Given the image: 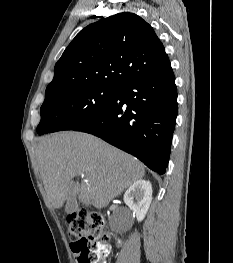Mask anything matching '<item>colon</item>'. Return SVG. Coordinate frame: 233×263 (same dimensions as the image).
I'll return each mask as SVG.
<instances>
[{"instance_id":"colon-1","label":"colon","mask_w":233,"mask_h":263,"mask_svg":"<svg viewBox=\"0 0 233 263\" xmlns=\"http://www.w3.org/2000/svg\"><path fill=\"white\" fill-rule=\"evenodd\" d=\"M67 233L78 263H103L109 237L100 212L79 210L67 218Z\"/></svg>"}]
</instances>
